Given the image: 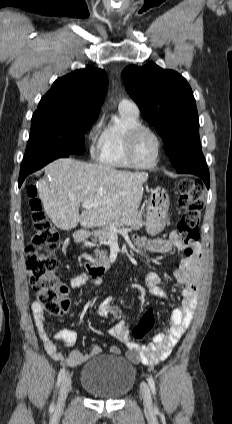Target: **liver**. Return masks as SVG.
I'll list each match as a JSON object with an SVG mask.
<instances>
[{
  "instance_id": "6515ba94",
  "label": "liver",
  "mask_w": 232,
  "mask_h": 424,
  "mask_svg": "<svg viewBox=\"0 0 232 424\" xmlns=\"http://www.w3.org/2000/svg\"><path fill=\"white\" fill-rule=\"evenodd\" d=\"M50 185L39 182L38 193L46 215L62 230L108 225L135 213L143 197L145 172L119 171L72 158H60L46 168ZM85 201L96 205L79 214Z\"/></svg>"
}]
</instances>
